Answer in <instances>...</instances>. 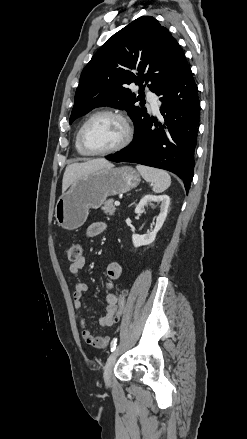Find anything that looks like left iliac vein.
I'll return each mask as SVG.
<instances>
[{
	"label": "left iliac vein",
	"instance_id": "obj_1",
	"mask_svg": "<svg viewBox=\"0 0 247 439\" xmlns=\"http://www.w3.org/2000/svg\"><path fill=\"white\" fill-rule=\"evenodd\" d=\"M119 350H120V347L118 346L114 350V352L111 353V355L109 356V358H108V360L106 362V365L104 367V374H103V376H104V381H105L106 384L110 383L112 370H113L114 364L116 362L117 356L119 354Z\"/></svg>",
	"mask_w": 247,
	"mask_h": 439
}]
</instances>
